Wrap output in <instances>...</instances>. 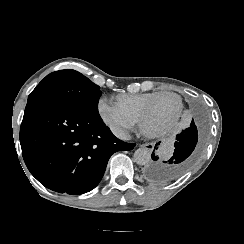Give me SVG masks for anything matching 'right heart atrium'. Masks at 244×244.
<instances>
[{
    "instance_id": "d8ad5b80",
    "label": "right heart atrium",
    "mask_w": 244,
    "mask_h": 244,
    "mask_svg": "<svg viewBox=\"0 0 244 244\" xmlns=\"http://www.w3.org/2000/svg\"><path fill=\"white\" fill-rule=\"evenodd\" d=\"M99 113L104 122L118 134L132 127L136 120L135 109L130 107L128 103L117 106L103 100L99 104Z\"/></svg>"
}]
</instances>
